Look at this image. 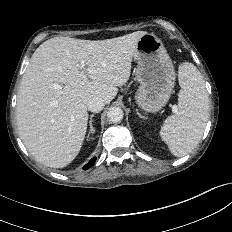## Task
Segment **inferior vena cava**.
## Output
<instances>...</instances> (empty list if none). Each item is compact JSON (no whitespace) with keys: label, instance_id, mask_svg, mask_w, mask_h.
<instances>
[{"label":"inferior vena cava","instance_id":"602c4592","mask_svg":"<svg viewBox=\"0 0 232 232\" xmlns=\"http://www.w3.org/2000/svg\"><path fill=\"white\" fill-rule=\"evenodd\" d=\"M104 100L98 96L93 97L88 101L87 108L89 111L97 113L104 108Z\"/></svg>","mask_w":232,"mask_h":232}]
</instances>
